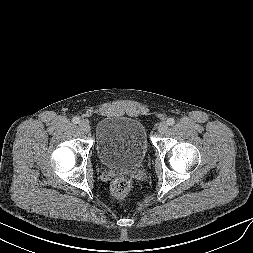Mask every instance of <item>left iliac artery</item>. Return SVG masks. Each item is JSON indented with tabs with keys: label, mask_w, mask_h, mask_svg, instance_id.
I'll return each mask as SVG.
<instances>
[{
	"label": "left iliac artery",
	"mask_w": 253,
	"mask_h": 253,
	"mask_svg": "<svg viewBox=\"0 0 253 253\" xmlns=\"http://www.w3.org/2000/svg\"><path fill=\"white\" fill-rule=\"evenodd\" d=\"M167 124L170 125V126L174 125L175 124L174 118H168L167 119Z\"/></svg>",
	"instance_id": "left-iliac-artery-1"
}]
</instances>
